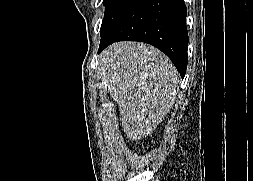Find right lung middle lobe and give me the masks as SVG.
<instances>
[{"instance_id": "right-lung-middle-lobe-1", "label": "right lung middle lobe", "mask_w": 253, "mask_h": 181, "mask_svg": "<svg viewBox=\"0 0 253 181\" xmlns=\"http://www.w3.org/2000/svg\"><path fill=\"white\" fill-rule=\"evenodd\" d=\"M134 0H103L105 15L102 21L100 34L117 20V18L130 6Z\"/></svg>"}]
</instances>
